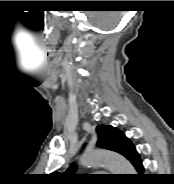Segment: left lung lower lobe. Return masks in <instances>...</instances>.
<instances>
[{
  "label": "left lung lower lobe",
  "instance_id": "1",
  "mask_svg": "<svg viewBox=\"0 0 174 184\" xmlns=\"http://www.w3.org/2000/svg\"><path fill=\"white\" fill-rule=\"evenodd\" d=\"M125 157L132 162V164L135 166L136 170L139 172L138 175L141 176L142 172L144 171V167L142 165V162L140 160V156H139L138 152L136 151L134 145H132L129 148Z\"/></svg>",
  "mask_w": 174,
  "mask_h": 184
}]
</instances>
